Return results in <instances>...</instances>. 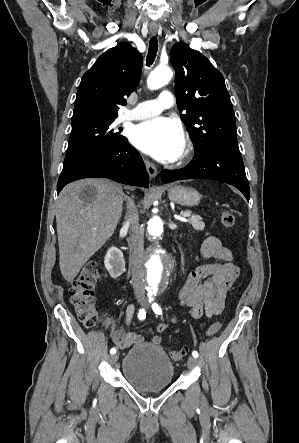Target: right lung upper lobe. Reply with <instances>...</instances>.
<instances>
[{
  "mask_svg": "<svg viewBox=\"0 0 299 443\" xmlns=\"http://www.w3.org/2000/svg\"><path fill=\"white\" fill-rule=\"evenodd\" d=\"M142 55L129 43L122 42L102 54L82 77L74 106L72 123L87 118L117 117L119 105H125L138 86Z\"/></svg>",
  "mask_w": 299,
  "mask_h": 443,
  "instance_id": "cb5924a9",
  "label": "right lung upper lobe"
}]
</instances>
